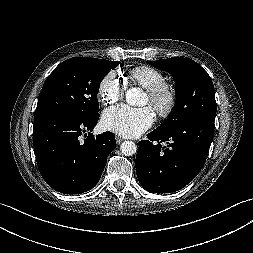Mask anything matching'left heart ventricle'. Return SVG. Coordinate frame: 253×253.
<instances>
[{
    "label": "left heart ventricle",
    "mask_w": 253,
    "mask_h": 253,
    "mask_svg": "<svg viewBox=\"0 0 253 253\" xmlns=\"http://www.w3.org/2000/svg\"><path fill=\"white\" fill-rule=\"evenodd\" d=\"M147 102H149V97H148V95H147Z\"/></svg>",
    "instance_id": "obj_1"
}]
</instances>
